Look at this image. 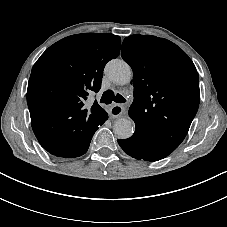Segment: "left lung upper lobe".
<instances>
[{"mask_svg": "<svg viewBox=\"0 0 227 227\" xmlns=\"http://www.w3.org/2000/svg\"><path fill=\"white\" fill-rule=\"evenodd\" d=\"M122 58L133 70L129 116L135 131L174 151L187 135L200 102L192 60L171 41L140 34L124 39Z\"/></svg>", "mask_w": 227, "mask_h": 227, "instance_id": "1", "label": "left lung upper lobe"}]
</instances>
